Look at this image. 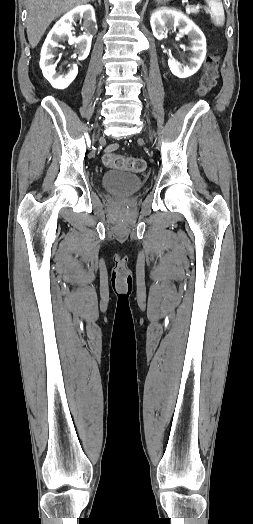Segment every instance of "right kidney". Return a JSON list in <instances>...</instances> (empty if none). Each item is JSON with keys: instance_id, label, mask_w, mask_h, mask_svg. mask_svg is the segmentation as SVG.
Returning <instances> with one entry per match:
<instances>
[{"instance_id": "obj_1", "label": "right kidney", "mask_w": 253, "mask_h": 524, "mask_svg": "<svg viewBox=\"0 0 253 524\" xmlns=\"http://www.w3.org/2000/svg\"><path fill=\"white\" fill-rule=\"evenodd\" d=\"M79 20H83L85 33L76 38L71 32L73 29L72 23H76ZM96 30L95 11L91 5L78 6L56 22L43 44L40 58V67L43 75L54 88H67L78 73V67L75 64L65 73L56 71L53 53L59 46V42L68 41L69 44L74 45L78 60H84L89 55L92 37Z\"/></svg>"}]
</instances>
